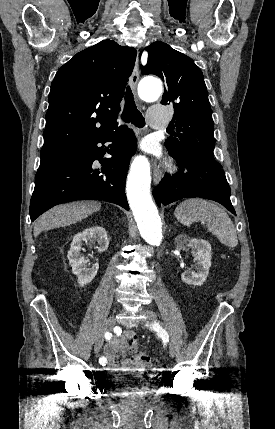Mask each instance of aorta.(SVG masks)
<instances>
[{
  "label": "aorta",
  "instance_id": "1",
  "mask_svg": "<svg viewBox=\"0 0 275 429\" xmlns=\"http://www.w3.org/2000/svg\"><path fill=\"white\" fill-rule=\"evenodd\" d=\"M140 97L146 102L157 100L162 93V84L157 79H147L139 88ZM150 168L143 159H136L127 178V197L143 239L154 246L161 244L162 225L156 205L150 194Z\"/></svg>",
  "mask_w": 275,
  "mask_h": 429
}]
</instances>
